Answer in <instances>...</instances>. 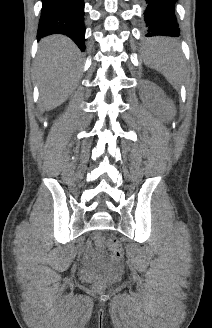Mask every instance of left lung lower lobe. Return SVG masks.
Returning <instances> with one entry per match:
<instances>
[{"label": "left lung lower lobe", "mask_w": 212, "mask_h": 328, "mask_svg": "<svg viewBox=\"0 0 212 328\" xmlns=\"http://www.w3.org/2000/svg\"><path fill=\"white\" fill-rule=\"evenodd\" d=\"M147 8L144 13L148 33L151 36H179L180 30L174 6L177 0H146Z\"/></svg>", "instance_id": "1"}]
</instances>
